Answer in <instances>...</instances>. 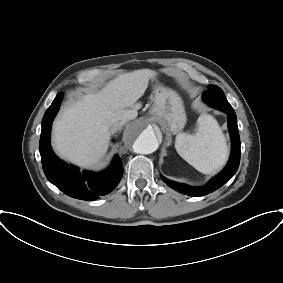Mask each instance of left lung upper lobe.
Returning <instances> with one entry per match:
<instances>
[{"label":"left lung upper lobe","mask_w":283,"mask_h":283,"mask_svg":"<svg viewBox=\"0 0 283 283\" xmlns=\"http://www.w3.org/2000/svg\"><path fill=\"white\" fill-rule=\"evenodd\" d=\"M204 93L211 99H215V100H225L226 99L222 89L215 85H210L209 90L205 91Z\"/></svg>","instance_id":"left-lung-upper-lobe-1"}]
</instances>
